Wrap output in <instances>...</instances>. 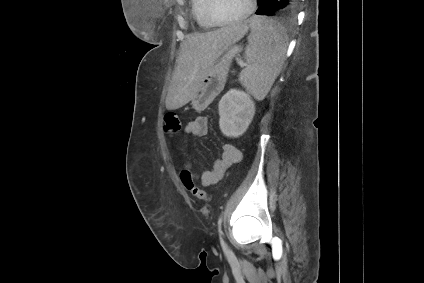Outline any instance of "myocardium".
I'll return each instance as SVG.
<instances>
[{"label":"myocardium","instance_id":"myocardium-1","mask_svg":"<svg viewBox=\"0 0 424 283\" xmlns=\"http://www.w3.org/2000/svg\"><path fill=\"white\" fill-rule=\"evenodd\" d=\"M213 6H214V0H206L205 15L208 21L215 26H226V25H233L247 19L255 11L256 0H249V6L247 10L239 17L235 19H231V20H222L217 18L213 12Z\"/></svg>","mask_w":424,"mask_h":283}]
</instances>
